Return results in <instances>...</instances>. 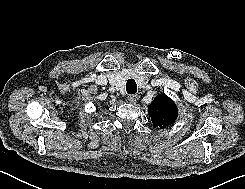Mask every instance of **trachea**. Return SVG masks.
Wrapping results in <instances>:
<instances>
[{"instance_id":"trachea-1","label":"trachea","mask_w":245,"mask_h":189,"mask_svg":"<svg viewBox=\"0 0 245 189\" xmlns=\"http://www.w3.org/2000/svg\"><path fill=\"white\" fill-rule=\"evenodd\" d=\"M126 91L128 94H135L137 92V85L134 79L127 80Z\"/></svg>"}]
</instances>
